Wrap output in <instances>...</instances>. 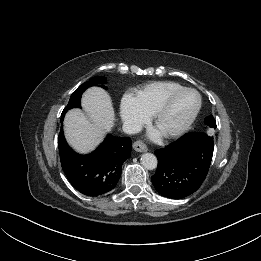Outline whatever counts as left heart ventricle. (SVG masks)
Masks as SVG:
<instances>
[{
  "label": "left heart ventricle",
  "mask_w": 261,
  "mask_h": 261,
  "mask_svg": "<svg viewBox=\"0 0 261 261\" xmlns=\"http://www.w3.org/2000/svg\"><path fill=\"white\" fill-rule=\"evenodd\" d=\"M197 103V95L193 92L178 95L160 119L157 129L160 132H167L179 128L194 112Z\"/></svg>",
  "instance_id": "left-heart-ventricle-1"
}]
</instances>
